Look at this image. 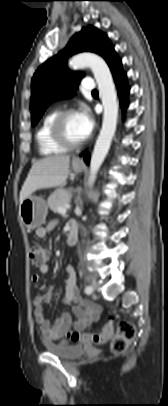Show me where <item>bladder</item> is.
<instances>
[{
  "label": "bladder",
  "mask_w": 168,
  "mask_h": 406,
  "mask_svg": "<svg viewBox=\"0 0 168 406\" xmlns=\"http://www.w3.org/2000/svg\"><path fill=\"white\" fill-rule=\"evenodd\" d=\"M44 345L52 354L63 360H74L84 352L82 346L74 344L53 345L45 343Z\"/></svg>",
  "instance_id": "1"
}]
</instances>
